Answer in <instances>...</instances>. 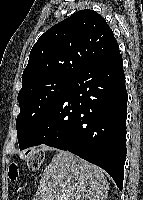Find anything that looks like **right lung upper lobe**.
<instances>
[{
	"label": "right lung upper lobe",
	"mask_w": 143,
	"mask_h": 200,
	"mask_svg": "<svg viewBox=\"0 0 143 200\" xmlns=\"http://www.w3.org/2000/svg\"><path fill=\"white\" fill-rule=\"evenodd\" d=\"M118 48L106 20L93 10H81L40 36L22 75V88L52 77H73Z\"/></svg>",
	"instance_id": "1"
}]
</instances>
